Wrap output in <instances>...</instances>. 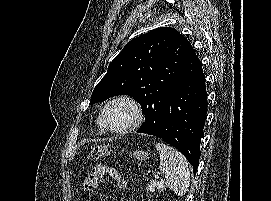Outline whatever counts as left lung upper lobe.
I'll list each match as a JSON object with an SVG mask.
<instances>
[{"label":"left lung upper lobe","instance_id":"1","mask_svg":"<svg viewBox=\"0 0 271 201\" xmlns=\"http://www.w3.org/2000/svg\"><path fill=\"white\" fill-rule=\"evenodd\" d=\"M185 44L186 38L171 27H160L131 40L109 64L90 104L117 95L131 96L145 115L141 126L157 129L179 78Z\"/></svg>","mask_w":271,"mask_h":201}]
</instances>
